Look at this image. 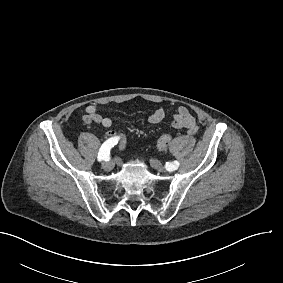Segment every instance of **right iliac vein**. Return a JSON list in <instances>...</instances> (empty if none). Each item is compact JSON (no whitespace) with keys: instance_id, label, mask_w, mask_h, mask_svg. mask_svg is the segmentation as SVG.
<instances>
[{"instance_id":"obj_1","label":"right iliac vein","mask_w":283,"mask_h":283,"mask_svg":"<svg viewBox=\"0 0 283 283\" xmlns=\"http://www.w3.org/2000/svg\"><path fill=\"white\" fill-rule=\"evenodd\" d=\"M114 166V162L113 161H109V162H103L102 163V168L105 170V171H109L113 168Z\"/></svg>"}]
</instances>
